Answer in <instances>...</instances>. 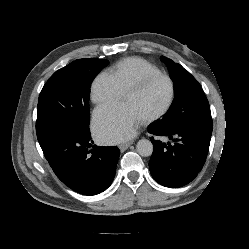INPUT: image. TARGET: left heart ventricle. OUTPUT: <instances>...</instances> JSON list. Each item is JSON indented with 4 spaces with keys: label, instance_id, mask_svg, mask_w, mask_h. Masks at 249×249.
<instances>
[{
    "label": "left heart ventricle",
    "instance_id": "b2bd125f",
    "mask_svg": "<svg viewBox=\"0 0 249 249\" xmlns=\"http://www.w3.org/2000/svg\"><path fill=\"white\" fill-rule=\"evenodd\" d=\"M169 95V83L165 79H157L139 92L126 94L123 102L130 105L138 116L144 119L161 110Z\"/></svg>",
    "mask_w": 249,
    "mask_h": 249
}]
</instances>
